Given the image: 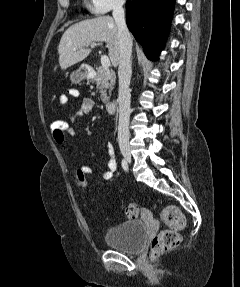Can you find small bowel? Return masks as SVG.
<instances>
[{
	"label": "small bowel",
	"mask_w": 240,
	"mask_h": 287,
	"mask_svg": "<svg viewBox=\"0 0 240 287\" xmlns=\"http://www.w3.org/2000/svg\"><path fill=\"white\" fill-rule=\"evenodd\" d=\"M72 97V98H80V93L77 89L75 88H68L67 89V94H61L58 97V102L61 106H65L68 103L69 98L68 97ZM95 106V102L93 99L88 98V97H81L80 98V107L77 110V112L72 115L70 117L69 124L70 127L66 133V136L63 139H55L56 143L59 145H65L66 143V137L67 136H74L75 135V123L76 121L83 117L88 115L89 113H91V111L93 110ZM106 165H107V169L105 171H103L101 173V178L103 180H110L113 176V173L115 172V170L117 169V163L115 160V156H114V148L111 144H107V161H106ZM79 172L85 174H92L93 170L86 166V165H79L78 166V170ZM141 215L143 218L145 219H149L151 218V213L147 210V209H143L141 212Z\"/></svg>",
	"instance_id": "1"
}]
</instances>
